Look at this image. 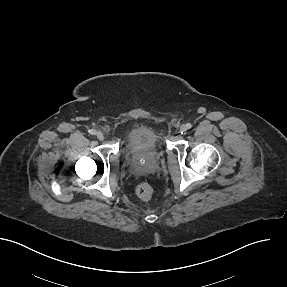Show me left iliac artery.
I'll list each match as a JSON object with an SVG mask.
<instances>
[{"instance_id":"44dca946","label":"left iliac artery","mask_w":287,"mask_h":287,"mask_svg":"<svg viewBox=\"0 0 287 287\" xmlns=\"http://www.w3.org/2000/svg\"><path fill=\"white\" fill-rule=\"evenodd\" d=\"M186 126H187V129H190L192 127L190 123H187Z\"/></svg>"}]
</instances>
